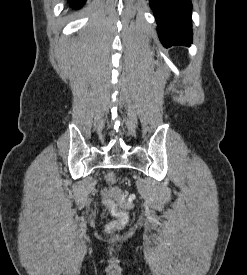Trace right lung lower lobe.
Instances as JSON below:
<instances>
[{
  "label": "right lung lower lobe",
  "instance_id": "right-lung-lower-lobe-1",
  "mask_svg": "<svg viewBox=\"0 0 247 275\" xmlns=\"http://www.w3.org/2000/svg\"><path fill=\"white\" fill-rule=\"evenodd\" d=\"M86 0H69V2H74L73 4H71V7H80L84 4Z\"/></svg>",
  "mask_w": 247,
  "mask_h": 275
}]
</instances>
